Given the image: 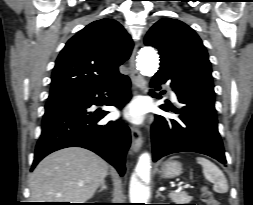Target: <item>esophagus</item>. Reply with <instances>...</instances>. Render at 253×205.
Instances as JSON below:
<instances>
[{
  "label": "esophagus",
  "mask_w": 253,
  "mask_h": 205,
  "mask_svg": "<svg viewBox=\"0 0 253 205\" xmlns=\"http://www.w3.org/2000/svg\"><path fill=\"white\" fill-rule=\"evenodd\" d=\"M138 44L135 45L133 52L130 57V78L134 87V92L137 93L139 89L143 88L144 81L136 68V55H137ZM131 149L138 152L143 143L142 132L137 127L131 128Z\"/></svg>",
  "instance_id": "1"
}]
</instances>
